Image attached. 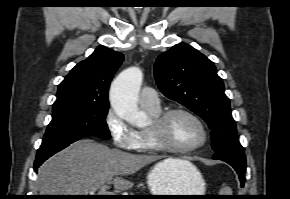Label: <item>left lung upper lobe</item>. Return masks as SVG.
I'll list each match as a JSON object with an SVG mask.
<instances>
[{
  "label": "left lung upper lobe",
  "mask_w": 290,
  "mask_h": 199,
  "mask_svg": "<svg viewBox=\"0 0 290 199\" xmlns=\"http://www.w3.org/2000/svg\"><path fill=\"white\" fill-rule=\"evenodd\" d=\"M155 79L162 93L202 117L212 130L216 153L244 151L237 140L222 79L212 61L187 44L162 53L155 64Z\"/></svg>",
  "instance_id": "obj_1"
}]
</instances>
